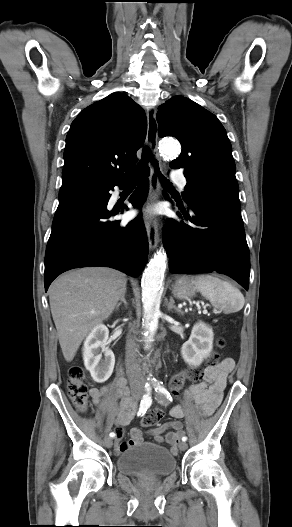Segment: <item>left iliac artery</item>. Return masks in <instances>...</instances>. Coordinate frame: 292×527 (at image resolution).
<instances>
[{
  "instance_id": "44dca946",
  "label": "left iliac artery",
  "mask_w": 292,
  "mask_h": 527,
  "mask_svg": "<svg viewBox=\"0 0 292 527\" xmlns=\"http://www.w3.org/2000/svg\"><path fill=\"white\" fill-rule=\"evenodd\" d=\"M153 386H154L156 392H158L159 394L164 395L167 399L171 400V396H170L169 392L167 391V389L164 387L162 382L155 381V382H153ZM186 440H187V437L183 436L182 437V441L185 442Z\"/></svg>"
}]
</instances>
